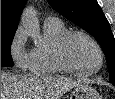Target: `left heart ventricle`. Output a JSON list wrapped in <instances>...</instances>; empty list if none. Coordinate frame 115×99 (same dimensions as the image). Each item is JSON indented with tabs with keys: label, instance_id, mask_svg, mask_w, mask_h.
<instances>
[{
	"label": "left heart ventricle",
	"instance_id": "left-heart-ventricle-1",
	"mask_svg": "<svg viewBox=\"0 0 115 99\" xmlns=\"http://www.w3.org/2000/svg\"><path fill=\"white\" fill-rule=\"evenodd\" d=\"M70 62L82 71L94 70L99 64V55L95 46L82 36L73 37L67 46Z\"/></svg>",
	"mask_w": 115,
	"mask_h": 99
}]
</instances>
